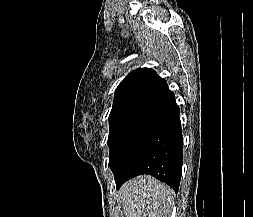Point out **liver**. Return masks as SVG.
Segmentation results:
<instances>
[{
	"label": "liver",
	"instance_id": "1",
	"mask_svg": "<svg viewBox=\"0 0 253 217\" xmlns=\"http://www.w3.org/2000/svg\"><path fill=\"white\" fill-rule=\"evenodd\" d=\"M174 191L150 175L126 182L119 190L124 217H168Z\"/></svg>",
	"mask_w": 253,
	"mask_h": 217
}]
</instances>
